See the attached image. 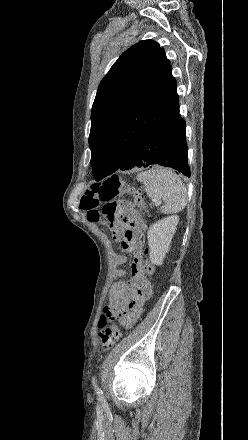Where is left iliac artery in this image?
<instances>
[{"instance_id": "1", "label": "left iliac artery", "mask_w": 248, "mask_h": 440, "mask_svg": "<svg viewBox=\"0 0 248 440\" xmlns=\"http://www.w3.org/2000/svg\"><path fill=\"white\" fill-rule=\"evenodd\" d=\"M92 383H93V386H94L95 391H96V393L98 394V396H99V397H102V396H103V392H102L101 389L98 387L95 378L92 379Z\"/></svg>"}]
</instances>
